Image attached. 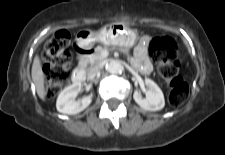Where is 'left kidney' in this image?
<instances>
[{
	"mask_svg": "<svg viewBox=\"0 0 225 155\" xmlns=\"http://www.w3.org/2000/svg\"><path fill=\"white\" fill-rule=\"evenodd\" d=\"M145 85L148 87L146 97L142 98L139 91H135L133 98L135 102L143 109L148 111H159L164 108L165 100L162 90L151 79H145Z\"/></svg>",
	"mask_w": 225,
	"mask_h": 155,
	"instance_id": "obj_1",
	"label": "left kidney"
}]
</instances>
